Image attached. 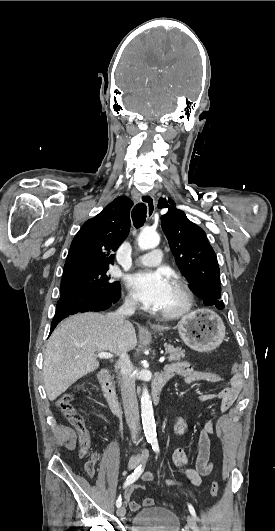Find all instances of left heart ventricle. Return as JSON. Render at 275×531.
I'll use <instances>...</instances> for the list:
<instances>
[{"label":"left heart ventricle","mask_w":275,"mask_h":531,"mask_svg":"<svg viewBox=\"0 0 275 531\" xmlns=\"http://www.w3.org/2000/svg\"><path fill=\"white\" fill-rule=\"evenodd\" d=\"M182 300L180 290L171 282L162 304L156 309L160 312L178 309L182 304Z\"/></svg>","instance_id":"b2bd125f"}]
</instances>
